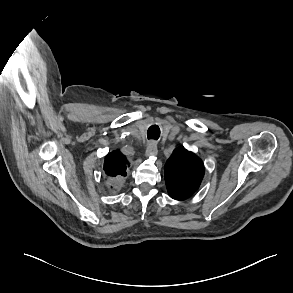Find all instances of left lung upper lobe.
Masks as SVG:
<instances>
[{
    "mask_svg": "<svg viewBox=\"0 0 293 293\" xmlns=\"http://www.w3.org/2000/svg\"><path fill=\"white\" fill-rule=\"evenodd\" d=\"M204 165L194 153L177 148L165 164V183L169 196L175 200L189 198L200 186Z\"/></svg>",
    "mask_w": 293,
    "mask_h": 293,
    "instance_id": "left-lung-upper-lobe-1",
    "label": "left lung upper lobe"
}]
</instances>
